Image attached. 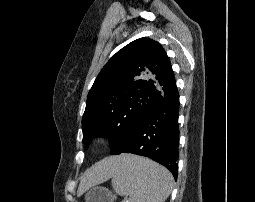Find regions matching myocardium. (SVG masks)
<instances>
[{"label": "myocardium", "mask_w": 255, "mask_h": 202, "mask_svg": "<svg viewBox=\"0 0 255 202\" xmlns=\"http://www.w3.org/2000/svg\"><path fill=\"white\" fill-rule=\"evenodd\" d=\"M109 142V137L105 134H100L97 135L94 140H93V144L96 147H103L105 146L107 143Z\"/></svg>", "instance_id": "f54148a6"}]
</instances>
